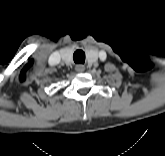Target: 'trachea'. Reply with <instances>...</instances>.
<instances>
[{
	"label": "trachea",
	"instance_id": "1",
	"mask_svg": "<svg viewBox=\"0 0 165 156\" xmlns=\"http://www.w3.org/2000/svg\"><path fill=\"white\" fill-rule=\"evenodd\" d=\"M73 60L75 63H84L85 62V52L82 50H77L73 54Z\"/></svg>",
	"mask_w": 165,
	"mask_h": 156
}]
</instances>
